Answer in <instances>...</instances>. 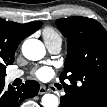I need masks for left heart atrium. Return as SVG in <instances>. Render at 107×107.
Returning <instances> with one entry per match:
<instances>
[{
	"label": "left heart atrium",
	"instance_id": "left-heart-atrium-1",
	"mask_svg": "<svg viewBox=\"0 0 107 107\" xmlns=\"http://www.w3.org/2000/svg\"><path fill=\"white\" fill-rule=\"evenodd\" d=\"M34 75L40 80H47L52 76V70L49 67H40L34 71Z\"/></svg>",
	"mask_w": 107,
	"mask_h": 107
}]
</instances>
